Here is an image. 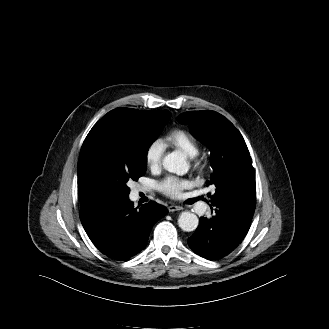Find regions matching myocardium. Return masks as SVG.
<instances>
[{
    "mask_svg": "<svg viewBox=\"0 0 329 329\" xmlns=\"http://www.w3.org/2000/svg\"><path fill=\"white\" fill-rule=\"evenodd\" d=\"M195 165L199 167L200 166V162L199 161H195Z\"/></svg>",
    "mask_w": 329,
    "mask_h": 329,
    "instance_id": "1",
    "label": "myocardium"
}]
</instances>
